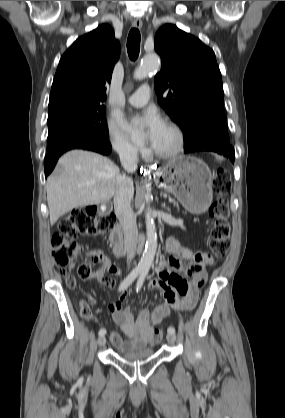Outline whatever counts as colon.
I'll use <instances>...</instances> for the list:
<instances>
[{
  "label": "colon",
  "instance_id": "1",
  "mask_svg": "<svg viewBox=\"0 0 285 418\" xmlns=\"http://www.w3.org/2000/svg\"><path fill=\"white\" fill-rule=\"evenodd\" d=\"M230 183L225 178L224 172L218 170L214 181V191L219 196L209 209L212 219L210 236L211 253L203 255V262L211 265L215 258H223L230 247V212L225 196L229 193ZM114 214L97 218L94 216V208L73 209L58 223V228L51 237V246L56 265L63 276L67 274V268L84 253L83 246L76 241L78 235L97 236L106 234L116 224ZM105 264L101 255L95 254L89 262H82L78 266V274L83 278H90L92 266ZM193 301L186 303V308L191 309ZM163 336L161 330H157L150 340V344L158 343Z\"/></svg>",
  "mask_w": 285,
  "mask_h": 418
}]
</instances>
